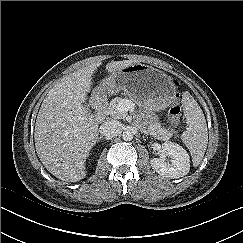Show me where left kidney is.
Listing matches in <instances>:
<instances>
[{"label":"left kidney","instance_id":"1","mask_svg":"<svg viewBox=\"0 0 243 243\" xmlns=\"http://www.w3.org/2000/svg\"><path fill=\"white\" fill-rule=\"evenodd\" d=\"M151 166L162 176L180 178L190 170V157L180 145L165 142L162 144L160 157L151 159Z\"/></svg>","mask_w":243,"mask_h":243}]
</instances>
